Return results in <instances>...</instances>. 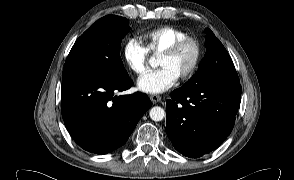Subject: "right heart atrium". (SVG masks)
Masks as SVG:
<instances>
[{
	"label": "right heart atrium",
	"mask_w": 294,
	"mask_h": 180,
	"mask_svg": "<svg viewBox=\"0 0 294 180\" xmlns=\"http://www.w3.org/2000/svg\"><path fill=\"white\" fill-rule=\"evenodd\" d=\"M121 55L135 74H142L146 70L149 54L137 39H128L123 45Z\"/></svg>",
	"instance_id": "d8ad5b80"
}]
</instances>
